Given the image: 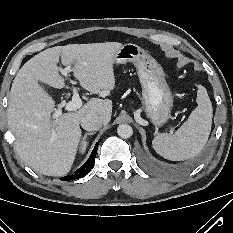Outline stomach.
I'll return each mask as SVG.
<instances>
[{
  "label": "stomach",
  "mask_w": 233,
  "mask_h": 233,
  "mask_svg": "<svg viewBox=\"0 0 233 233\" xmlns=\"http://www.w3.org/2000/svg\"><path fill=\"white\" fill-rule=\"evenodd\" d=\"M128 62L136 67L142 85L143 111L155 126L163 125L170 118L173 96L162 67L141 47L133 43L123 44L114 57L116 65Z\"/></svg>",
  "instance_id": "stomach-1"
}]
</instances>
